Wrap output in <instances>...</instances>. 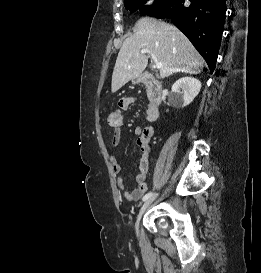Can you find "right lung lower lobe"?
I'll use <instances>...</instances> for the list:
<instances>
[{
  "label": "right lung lower lobe",
  "instance_id": "right-lung-lower-lobe-1",
  "mask_svg": "<svg viewBox=\"0 0 261 273\" xmlns=\"http://www.w3.org/2000/svg\"><path fill=\"white\" fill-rule=\"evenodd\" d=\"M173 0L153 17L171 19L192 42L207 62L211 73L215 69L225 22L226 0Z\"/></svg>",
  "mask_w": 261,
  "mask_h": 273
}]
</instances>
